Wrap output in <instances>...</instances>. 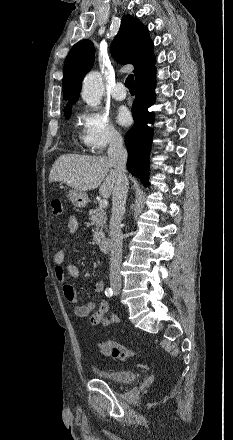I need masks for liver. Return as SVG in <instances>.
Instances as JSON below:
<instances>
[{
	"label": "liver",
	"mask_w": 233,
	"mask_h": 440,
	"mask_svg": "<svg viewBox=\"0 0 233 440\" xmlns=\"http://www.w3.org/2000/svg\"><path fill=\"white\" fill-rule=\"evenodd\" d=\"M60 181L78 191L99 187L103 197H109L116 182V172L107 156L61 155L52 166L49 182Z\"/></svg>",
	"instance_id": "obj_1"
}]
</instances>
